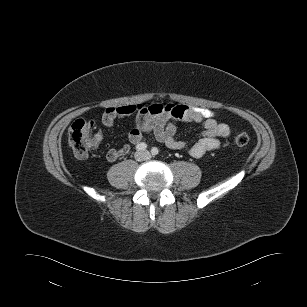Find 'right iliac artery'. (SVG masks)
Wrapping results in <instances>:
<instances>
[{"label": "right iliac artery", "instance_id": "1", "mask_svg": "<svg viewBox=\"0 0 307 307\" xmlns=\"http://www.w3.org/2000/svg\"><path fill=\"white\" fill-rule=\"evenodd\" d=\"M147 148V145L145 143H139L136 145V150L138 151H144Z\"/></svg>", "mask_w": 307, "mask_h": 307}]
</instances>
